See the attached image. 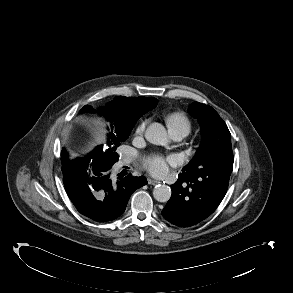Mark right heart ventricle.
I'll return each mask as SVG.
<instances>
[{"label":"right heart ventricle","instance_id":"right-heart-ventricle-1","mask_svg":"<svg viewBox=\"0 0 293 293\" xmlns=\"http://www.w3.org/2000/svg\"><path fill=\"white\" fill-rule=\"evenodd\" d=\"M169 131H182L188 134L191 130L190 119L182 112H171L165 116Z\"/></svg>","mask_w":293,"mask_h":293}]
</instances>
